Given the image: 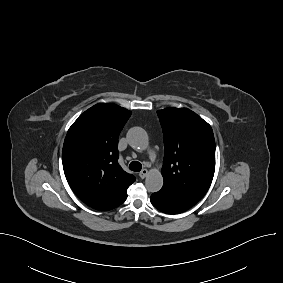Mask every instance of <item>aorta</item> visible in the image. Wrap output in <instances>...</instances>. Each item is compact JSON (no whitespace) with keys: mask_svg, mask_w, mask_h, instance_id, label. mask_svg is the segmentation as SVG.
<instances>
[{"mask_svg":"<svg viewBox=\"0 0 283 283\" xmlns=\"http://www.w3.org/2000/svg\"><path fill=\"white\" fill-rule=\"evenodd\" d=\"M129 145L136 149H146L149 139L146 131L141 127H133L127 133ZM145 186L150 192H157L163 186L162 174L158 171H150L145 179Z\"/></svg>","mask_w":283,"mask_h":283,"instance_id":"obj_1","label":"aorta"}]
</instances>
